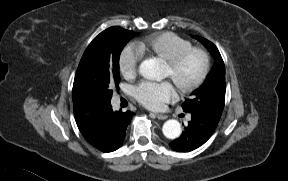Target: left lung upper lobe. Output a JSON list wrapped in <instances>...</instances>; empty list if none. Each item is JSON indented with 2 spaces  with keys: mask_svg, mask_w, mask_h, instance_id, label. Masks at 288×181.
<instances>
[{
  "mask_svg": "<svg viewBox=\"0 0 288 181\" xmlns=\"http://www.w3.org/2000/svg\"><path fill=\"white\" fill-rule=\"evenodd\" d=\"M193 37L212 53L215 63L205 82L199 89L192 92V97L182 104V108L185 112L202 113L219 121L225 101V65L218 49L212 42L200 36Z\"/></svg>",
  "mask_w": 288,
  "mask_h": 181,
  "instance_id": "obj_1",
  "label": "left lung upper lobe"
}]
</instances>
